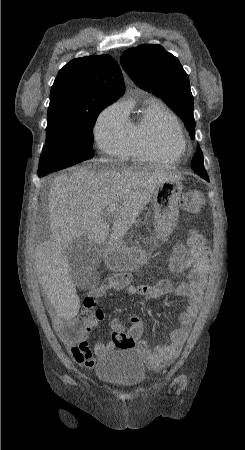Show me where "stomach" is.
Returning <instances> with one entry per match:
<instances>
[{
    "instance_id": "stomach-1",
    "label": "stomach",
    "mask_w": 245,
    "mask_h": 450,
    "mask_svg": "<svg viewBox=\"0 0 245 450\" xmlns=\"http://www.w3.org/2000/svg\"><path fill=\"white\" fill-rule=\"evenodd\" d=\"M182 190L183 184L179 179L164 180L156 187L153 196L154 227L161 239H165L177 223ZM104 259L116 271H134L148 261L149 254L141 248L116 242L106 249Z\"/></svg>"
}]
</instances>
